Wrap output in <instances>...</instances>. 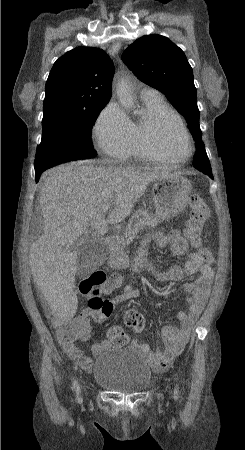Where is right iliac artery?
Returning a JSON list of instances; mask_svg holds the SVG:
<instances>
[{
    "instance_id": "1",
    "label": "right iliac artery",
    "mask_w": 245,
    "mask_h": 450,
    "mask_svg": "<svg viewBox=\"0 0 245 450\" xmlns=\"http://www.w3.org/2000/svg\"><path fill=\"white\" fill-rule=\"evenodd\" d=\"M73 386H74V388H75V387L77 388V392H78V391H79V388H78L77 381H74Z\"/></svg>"
}]
</instances>
